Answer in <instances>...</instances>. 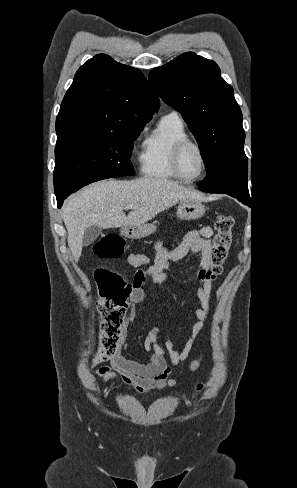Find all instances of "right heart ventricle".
Instances as JSON below:
<instances>
[{"label":"right heart ventricle","mask_w":297,"mask_h":488,"mask_svg":"<svg viewBox=\"0 0 297 488\" xmlns=\"http://www.w3.org/2000/svg\"><path fill=\"white\" fill-rule=\"evenodd\" d=\"M184 138H188V134L183 120L175 113L163 116L143 142L139 158L141 172L153 179H176L170 165L171 152Z\"/></svg>","instance_id":"right-heart-ventricle-1"}]
</instances>
